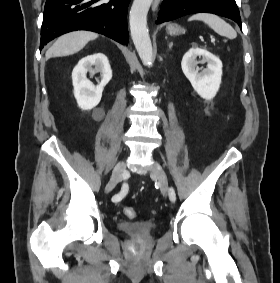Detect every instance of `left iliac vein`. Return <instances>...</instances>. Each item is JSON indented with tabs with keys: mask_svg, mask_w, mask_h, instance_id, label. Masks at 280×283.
<instances>
[{
	"mask_svg": "<svg viewBox=\"0 0 280 283\" xmlns=\"http://www.w3.org/2000/svg\"><path fill=\"white\" fill-rule=\"evenodd\" d=\"M150 174L151 176L155 177L161 184V193L162 195L166 196L169 192L168 178L164 169L158 162H154V164L151 166Z\"/></svg>",
	"mask_w": 280,
	"mask_h": 283,
	"instance_id": "left-iliac-vein-1",
	"label": "left iliac vein"
}]
</instances>
